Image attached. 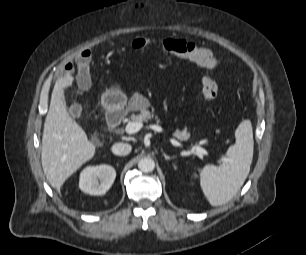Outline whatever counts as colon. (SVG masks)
I'll use <instances>...</instances> for the list:
<instances>
[{
  "label": "colon",
  "mask_w": 306,
  "mask_h": 255,
  "mask_svg": "<svg viewBox=\"0 0 306 255\" xmlns=\"http://www.w3.org/2000/svg\"><path fill=\"white\" fill-rule=\"evenodd\" d=\"M148 45L149 41L146 38H137L132 42V48L137 51L144 50ZM163 46L166 50L208 70L217 69L221 62L210 50L199 47L191 41L168 38L163 41ZM203 94L208 101L216 100L218 84L212 76L203 79Z\"/></svg>",
  "instance_id": "5ec220e1"
}]
</instances>
